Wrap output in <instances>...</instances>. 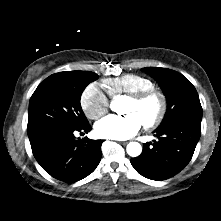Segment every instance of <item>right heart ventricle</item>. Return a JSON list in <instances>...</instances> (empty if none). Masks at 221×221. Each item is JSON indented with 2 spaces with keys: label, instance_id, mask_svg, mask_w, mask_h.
Wrapping results in <instances>:
<instances>
[{
  "label": "right heart ventricle",
  "instance_id": "right-heart-ventricle-1",
  "mask_svg": "<svg viewBox=\"0 0 221 221\" xmlns=\"http://www.w3.org/2000/svg\"><path fill=\"white\" fill-rule=\"evenodd\" d=\"M103 85L111 96L130 95L154 87L149 78L139 74H125L116 78L105 79Z\"/></svg>",
  "mask_w": 221,
  "mask_h": 221
}]
</instances>
